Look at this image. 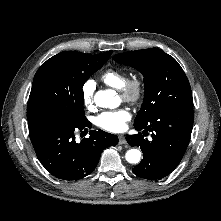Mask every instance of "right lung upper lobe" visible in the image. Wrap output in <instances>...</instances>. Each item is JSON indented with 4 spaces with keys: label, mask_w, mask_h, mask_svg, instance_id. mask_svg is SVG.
Returning a JSON list of instances; mask_svg holds the SVG:
<instances>
[{
    "label": "right lung upper lobe",
    "mask_w": 221,
    "mask_h": 221,
    "mask_svg": "<svg viewBox=\"0 0 221 221\" xmlns=\"http://www.w3.org/2000/svg\"><path fill=\"white\" fill-rule=\"evenodd\" d=\"M111 54H112V51H107V52H105V53L98 54V55L101 56V57H105V58L108 59Z\"/></svg>",
    "instance_id": "cb5924a9"
}]
</instances>
